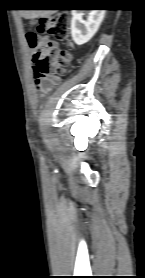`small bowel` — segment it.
Returning <instances> with one entry per match:
<instances>
[{
	"mask_svg": "<svg viewBox=\"0 0 145 278\" xmlns=\"http://www.w3.org/2000/svg\"><path fill=\"white\" fill-rule=\"evenodd\" d=\"M39 40L42 42H50V39L46 36L39 37ZM53 44L57 45V42L51 41ZM49 77H46L44 79L38 80L40 89L44 93L50 92L57 84L58 82L49 83Z\"/></svg>",
	"mask_w": 145,
	"mask_h": 278,
	"instance_id": "1",
	"label": "small bowel"
}]
</instances>
